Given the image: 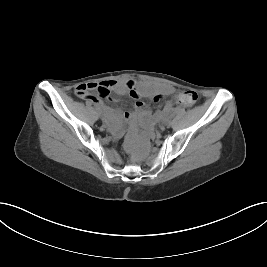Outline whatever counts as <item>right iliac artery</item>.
Masks as SVG:
<instances>
[{
	"mask_svg": "<svg viewBox=\"0 0 267 267\" xmlns=\"http://www.w3.org/2000/svg\"><path fill=\"white\" fill-rule=\"evenodd\" d=\"M95 110H96L97 112H100V108L97 107V106H95Z\"/></svg>",
	"mask_w": 267,
	"mask_h": 267,
	"instance_id": "right-iliac-artery-1",
	"label": "right iliac artery"
}]
</instances>
